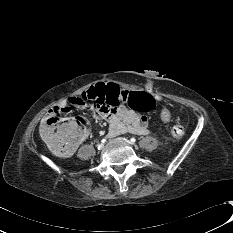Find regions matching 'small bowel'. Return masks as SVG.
<instances>
[{"mask_svg": "<svg viewBox=\"0 0 233 233\" xmlns=\"http://www.w3.org/2000/svg\"><path fill=\"white\" fill-rule=\"evenodd\" d=\"M151 95L154 97L155 101L161 100L160 96ZM67 106H71L78 110H90L96 119L105 120L109 123V130L112 135L132 133L139 136H147L150 134L147 118L137 113V110H131L124 106L115 107L113 105H105L103 103L96 104L92 108V106L81 97L69 98L60 108ZM75 148L76 146L73 151Z\"/></svg>", "mask_w": 233, "mask_h": 233, "instance_id": "1", "label": "small bowel"}]
</instances>
